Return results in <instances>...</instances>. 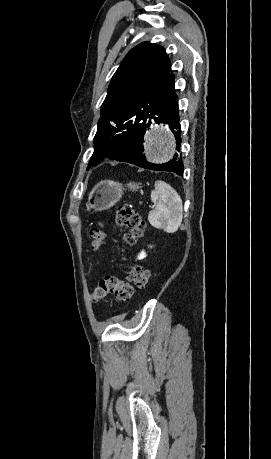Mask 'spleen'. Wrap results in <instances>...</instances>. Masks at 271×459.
Here are the masks:
<instances>
[{
  "mask_svg": "<svg viewBox=\"0 0 271 459\" xmlns=\"http://www.w3.org/2000/svg\"><path fill=\"white\" fill-rule=\"evenodd\" d=\"M151 200L156 204L155 210L149 214V222L154 228L174 233L180 228L183 218V206L177 192L166 182H155V190L151 192Z\"/></svg>",
  "mask_w": 271,
  "mask_h": 459,
  "instance_id": "obj_1",
  "label": "spleen"
}]
</instances>
